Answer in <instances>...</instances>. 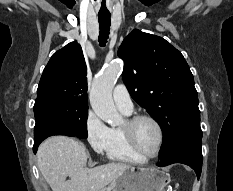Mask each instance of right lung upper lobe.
<instances>
[{
  "instance_id": "right-lung-upper-lobe-1",
  "label": "right lung upper lobe",
  "mask_w": 233,
  "mask_h": 191,
  "mask_svg": "<svg viewBox=\"0 0 233 191\" xmlns=\"http://www.w3.org/2000/svg\"><path fill=\"white\" fill-rule=\"evenodd\" d=\"M87 67L81 46L71 42L58 50L46 65L37 90V101L55 100L87 106Z\"/></svg>"
}]
</instances>
